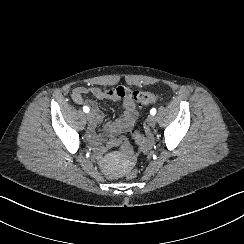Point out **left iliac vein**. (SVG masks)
I'll use <instances>...</instances> for the list:
<instances>
[{"instance_id": "left-iliac-vein-1", "label": "left iliac vein", "mask_w": 244, "mask_h": 244, "mask_svg": "<svg viewBox=\"0 0 244 244\" xmlns=\"http://www.w3.org/2000/svg\"><path fill=\"white\" fill-rule=\"evenodd\" d=\"M147 124L150 126V127H154L156 122H157V119L154 115H149L147 117V120H146Z\"/></svg>"}]
</instances>
